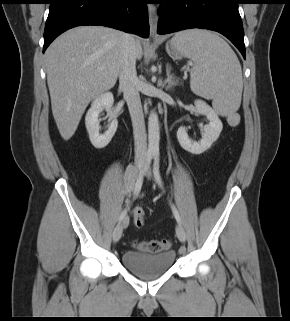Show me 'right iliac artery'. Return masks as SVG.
Masks as SVG:
<instances>
[{
	"instance_id": "obj_1",
	"label": "right iliac artery",
	"mask_w": 290,
	"mask_h": 321,
	"mask_svg": "<svg viewBox=\"0 0 290 321\" xmlns=\"http://www.w3.org/2000/svg\"><path fill=\"white\" fill-rule=\"evenodd\" d=\"M153 156H154L153 152H148L147 155H146L144 165H143L142 169L140 170L139 175L136 178L135 192L133 193L134 197H136L139 194L140 190H141L145 173H146V171L148 170V168H149V166L151 164ZM126 213H127V209L122 211V213H121V215L119 217V221H121L125 217Z\"/></svg>"
}]
</instances>
